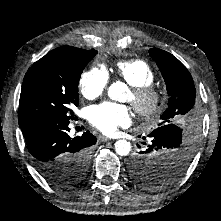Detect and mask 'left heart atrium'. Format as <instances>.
<instances>
[{
	"label": "left heart atrium",
	"instance_id": "left-heart-atrium-1",
	"mask_svg": "<svg viewBox=\"0 0 221 221\" xmlns=\"http://www.w3.org/2000/svg\"><path fill=\"white\" fill-rule=\"evenodd\" d=\"M88 119L93 126L103 133L112 134L119 127L129 125L131 115L125 105L104 102L89 109Z\"/></svg>",
	"mask_w": 221,
	"mask_h": 221
}]
</instances>
